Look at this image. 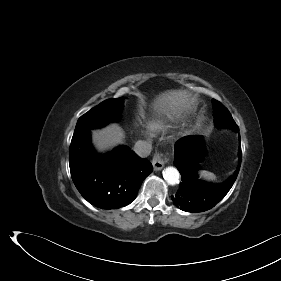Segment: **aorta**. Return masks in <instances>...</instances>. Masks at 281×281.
<instances>
[{
  "label": "aorta",
  "instance_id": "1",
  "mask_svg": "<svg viewBox=\"0 0 281 281\" xmlns=\"http://www.w3.org/2000/svg\"><path fill=\"white\" fill-rule=\"evenodd\" d=\"M163 177L169 185H175L179 183L180 173L175 167L170 166L163 170Z\"/></svg>",
  "mask_w": 281,
  "mask_h": 281
}]
</instances>
